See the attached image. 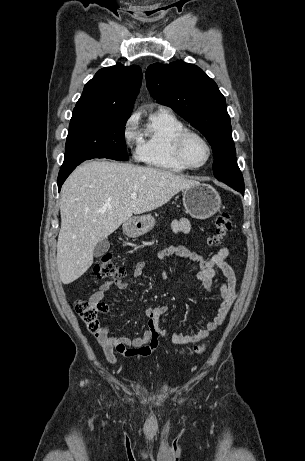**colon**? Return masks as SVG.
<instances>
[{"label":"colon","mask_w":305,"mask_h":461,"mask_svg":"<svg viewBox=\"0 0 305 461\" xmlns=\"http://www.w3.org/2000/svg\"><path fill=\"white\" fill-rule=\"evenodd\" d=\"M233 228L232 218L227 213H219L215 219V234L211 243L219 244ZM95 275L100 279H118L125 275V270L113 262L111 255L102 256L95 265ZM75 311L86 323L89 331L97 333L101 330V315L108 311V306L102 301L94 299L78 300L75 303ZM206 349L204 344L195 346L188 355H200Z\"/></svg>","instance_id":"obj_1"}]
</instances>
